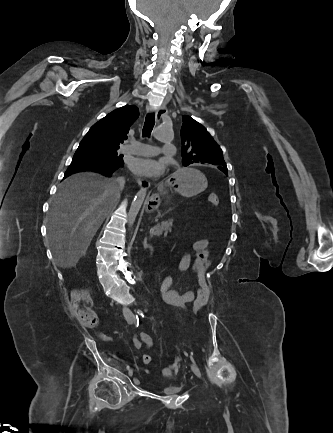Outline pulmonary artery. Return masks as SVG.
I'll use <instances>...</instances> for the list:
<instances>
[{
	"label": "pulmonary artery",
	"mask_w": 333,
	"mask_h": 433,
	"mask_svg": "<svg viewBox=\"0 0 333 433\" xmlns=\"http://www.w3.org/2000/svg\"><path fill=\"white\" fill-rule=\"evenodd\" d=\"M123 153L134 154L138 156H153L158 152H162L165 155L171 156L175 152V147L171 143H165L161 149H158L152 145L132 142L125 145L122 150Z\"/></svg>",
	"instance_id": "1"
}]
</instances>
